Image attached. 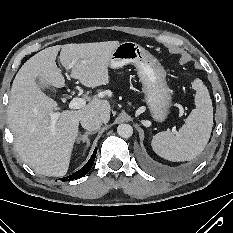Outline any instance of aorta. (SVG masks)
I'll return each mask as SVG.
<instances>
[{"label": "aorta", "instance_id": "obj_1", "mask_svg": "<svg viewBox=\"0 0 233 233\" xmlns=\"http://www.w3.org/2000/svg\"><path fill=\"white\" fill-rule=\"evenodd\" d=\"M117 133L122 138H129L133 134V128L129 124H120L117 127Z\"/></svg>", "mask_w": 233, "mask_h": 233}]
</instances>
